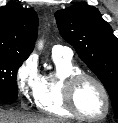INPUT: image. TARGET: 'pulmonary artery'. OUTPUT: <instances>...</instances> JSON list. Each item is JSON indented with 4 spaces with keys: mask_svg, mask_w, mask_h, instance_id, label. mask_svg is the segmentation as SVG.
I'll use <instances>...</instances> for the list:
<instances>
[{
    "mask_svg": "<svg viewBox=\"0 0 118 123\" xmlns=\"http://www.w3.org/2000/svg\"><path fill=\"white\" fill-rule=\"evenodd\" d=\"M52 56L55 57H64L67 59H71L73 56V51L66 46H62V45H55L52 48Z\"/></svg>",
    "mask_w": 118,
    "mask_h": 123,
    "instance_id": "pulmonary-artery-1",
    "label": "pulmonary artery"
}]
</instances>
